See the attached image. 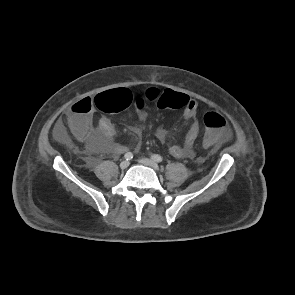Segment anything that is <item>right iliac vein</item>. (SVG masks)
I'll return each mask as SVG.
<instances>
[{"mask_svg": "<svg viewBox=\"0 0 295 295\" xmlns=\"http://www.w3.org/2000/svg\"><path fill=\"white\" fill-rule=\"evenodd\" d=\"M129 166V162L127 160H124L120 163L121 169H126Z\"/></svg>", "mask_w": 295, "mask_h": 295, "instance_id": "63e3f726", "label": "right iliac vein"}]
</instances>
